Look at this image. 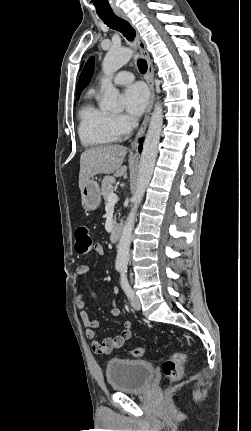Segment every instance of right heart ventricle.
<instances>
[{"label": "right heart ventricle", "instance_id": "obj_1", "mask_svg": "<svg viewBox=\"0 0 251 431\" xmlns=\"http://www.w3.org/2000/svg\"><path fill=\"white\" fill-rule=\"evenodd\" d=\"M89 92L79 110V137L84 145L102 146L115 142L119 137L111 127V115L99 108Z\"/></svg>", "mask_w": 251, "mask_h": 431}]
</instances>
